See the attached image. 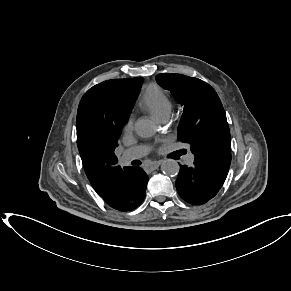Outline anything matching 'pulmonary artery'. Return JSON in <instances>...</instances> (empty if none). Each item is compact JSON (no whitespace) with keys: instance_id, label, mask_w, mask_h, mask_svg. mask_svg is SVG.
I'll return each mask as SVG.
<instances>
[{"instance_id":"e3ab8cb5","label":"pulmonary artery","mask_w":291,"mask_h":291,"mask_svg":"<svg viewBox=\"0 0 291 291\" xmlns=\"http://www.w3.org/2000/svg\"><path fill=\"white\" fill-rule=\"evenodd\" d=\"M168 119V116H163L159 120L165 122ZM148 153V148L145 146H136L124 151L121 154L120 160L123 164H126L132 160L139 159ZM194 155L191 153L186 158V163L188 165L193 164Z\"/></svg>"}]
</instances>
